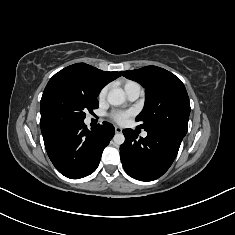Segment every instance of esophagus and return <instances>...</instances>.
<instances>
[{"label": "esophagus", "instance_id": "34e87169", "mask_svg": "<svg viewBox=\"0 0 235 235\" xmlns=\"http://www.w3.org/2000/svg\"><path fill=\"white\" fill-rule=\"evenodd\" d=\"M115 132L116 133H121L122 132V128L118 127V126H115Z\"/></svg>", "mask_w": 235, "mask_h": 235}]
</instances>
